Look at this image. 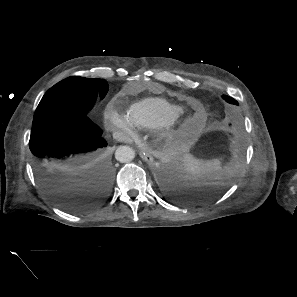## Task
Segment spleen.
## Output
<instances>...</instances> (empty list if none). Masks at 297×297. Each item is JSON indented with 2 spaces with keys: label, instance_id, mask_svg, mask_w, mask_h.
I'll return each instance as SVG.
<instances>
[{
  "label": "spleen",
  "instance_id": "3e777b00",
  "mask_svg": "<svg viewBox=\"0 0 297 297\" xmlns=\"http://www.w3.org/2000/svg\"><path fill=\"white\" fill-rule=\"evenodd\" d=\"M184 168L187 173L194 178H201L208 173H219L221 170V162L219 159L200 160L194 158L190 154L184 155Z\"/></svg>",
  "mask_w": 297,
  "mask_h": 297
}]
</instances>
